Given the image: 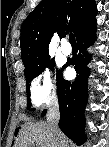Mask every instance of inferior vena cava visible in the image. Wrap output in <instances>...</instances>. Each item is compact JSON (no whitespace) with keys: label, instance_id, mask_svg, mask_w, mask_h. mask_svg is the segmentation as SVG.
<instances>
[{"label":"inferior vena cava","instance_id":"1","mask_svg":"<svg viewBox=\"0 0 109 147\" xmlns=\"http://www.w3.org/2000/svg\"><path fill=\"white\" fill-rule=\"evenodd\" d=\"M47 126L52 134H56L59 130L58 123L60 119V112L58 105H53L47 112Z\"/></svg>","mask_w":109,"mask_h":147}]
</instances>
